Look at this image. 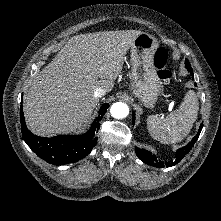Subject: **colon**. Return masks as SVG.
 I'll return each mask as SVG.
<instances>
[{"label":"colon","mask_w":221,"mask_h":221,"mask_svg":"<svg viewBox=\"0 0 221 221\" xmlns=\"http://www.w3.org/2000/svg\"><path fill=\"white\" fill-rule=\"evenodd\" d=\"M154 64L158 69L159 78L164 82H169L172 78V72L168 68L169 53L165 48L160 47L157 49L154 55Z\"/></svg>","instance_id":"5ec220e1"}]
</instances>
